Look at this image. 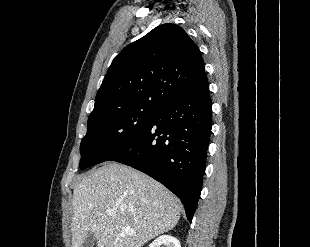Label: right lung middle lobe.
<instances>
[{"label": "right lung middle lobe", "instance_id": "obj_1", "mask_svg": "<svg viewBox=\"0 0 310 247\" xmlns=\"http://www.w3.org/2000/svg\"><path fill=\"white\" fill-rule=\"evenodd\" d=\"M157 110L125 108L88 119V130L80 145L79 167L107 161L126 148L139 135Z\"/></svg>", "mask_w": 310, "mask_h": 247}]
</instances>
